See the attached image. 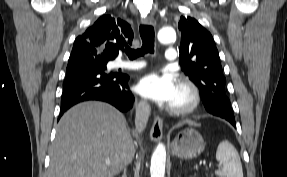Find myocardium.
Returning <instances> with one entry per match:
<instances>
[{"mask_svg": "<svg viewBox=\"0 0 287 177\" xmlns=\"http://www.w3.org/2000/svg\"><path fill=\"white\" fill-rule=\"evenodd\" d=\"M178 88L183 93L184 100L178 104H169L167 110L175 115L192 112L199 106L201 100L197 87L193 83L183 80L179 83Z\"/></svg>", "mask_w": 287, "mask_h": 177, "instance_id": "f54148a6", "label": "myocardium"}]
</instances>
